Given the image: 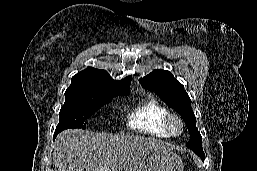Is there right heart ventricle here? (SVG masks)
<instances>
[{
	"label": "right heart ventricle",
	"instance_id": "right-heart-ventricle-1",
	"mask_svg": "<svg viewBox=\"0 0 257 171\" xmlns=\"http://www.w3.org/2000/svg\"><path fill=\"white\" fill-rule=\"evenodd\" d=\"M169 113L159 100L150 96L132 109L127 124L134 131L167 138L170 134L165 127V119Z\"/></svg>",
	"mask_w": 257,
	"mask_h": 171
}]
</instances>
